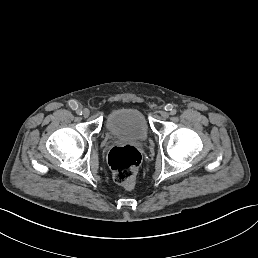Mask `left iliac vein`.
I'll list each match as a JSON object with an SVG mask.
<instances>
[{"mask_svg":"<svg viewBox=\"0 0 258 258\" xmlns=\"http://www.w3.org/2000/svg\"><path fill=\"white\" fill-rule=\"evenodd\" d=\"M169 116H170L169 113L166 112V113H164L162 118H163V120L166 121V120H168Z\"/></svg>","mask_w":258,"mask_h":258,"instance_id":"4c4485c4","label":"left iliac vein"}]
</instances>
